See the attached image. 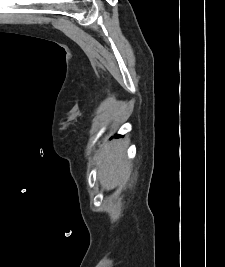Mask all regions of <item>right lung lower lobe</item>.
<instances>
[{"mask_svg": "<svg viewBox=\"0 0 225 267\" xmlns=\"http://www.w3.org/2000/svg\"><path fill=\"white\" fill-rule=\"evenodd\" d=\"M117 137H122L121 135H117Z\"/></svg>", "mask_w": 225, "mask_h": 267, "instance_id": "1", "label": "right lung lower lobe"}]
</instances>
